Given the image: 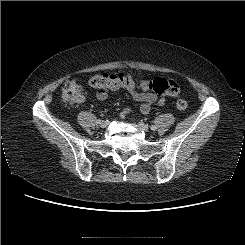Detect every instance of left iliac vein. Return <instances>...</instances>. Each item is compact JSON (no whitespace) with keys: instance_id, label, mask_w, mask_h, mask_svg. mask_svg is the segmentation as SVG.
I'll use <instances>...</instances> for the list:
<instances>
[{"instance_id":"obj_1","label":"left iliac vein","mask_w":245,"mask_h":245,"mask_svg":"<svg viewBox=\"0 0 245 245\" xmlns=\"http://www.w3.org/2000/svg\"><path fill=\"white\" fill-rule=\"evenodd\" d=\"M138 126H139V128H141V129H142L143 131H145V132L149 131L148 125H146V124H144V123L139 122V123H138Z\"/></svg>"}]
</instances>
